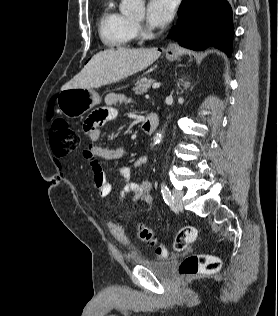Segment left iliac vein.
<instances>
[{
	"instance_id": "left-iliac-vein-1",
	"label": "left iliac vein",
	"mask_w": 278,
	"mask_h": 316,
	"mask_svg": "<svg viewBox=\"0 0 278 316\" xmlns=\"http://www.w3.org/2000/svg\"><path fill=\"white\" fill-rule=\"evenodd\" d=\"M173 197H174V205L177 209H183V192L180 190H173Z\"/></svg>"
}]
</instances>
